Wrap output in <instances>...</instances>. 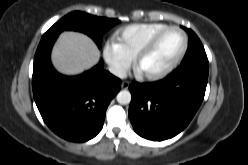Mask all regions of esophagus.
Masks as SVG:
<instances>
[{"instance_id": "obj_1", "label": "esophagus", "mask_w": 248, "mask_h": 165, "mask_svg": "<svg viewBox=\"0 0 248 165\" xmlns=\"http://www.w3.org/2000/svg\"><path fill=\"white\" fill-rule=\"evenodd\" d=\"M130 85L129 81H123L121 84L122 89H127Z\"/></svg>"}]
</instances>
